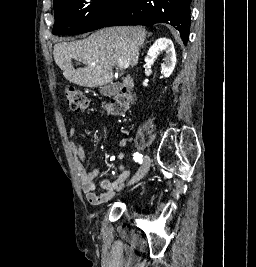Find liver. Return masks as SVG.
<instances>
[{
	"label": "liver",
	"mask_w": 256,
	"mask_h": 267,
	"mask_svg": "<svg viewBox=\"0 0 256 267\" xmlns=\"http://www.w3.org/2000/svg\"><path fill=\"white\" fill-rule=\"evenodd\" d=\"M146 32L141 26H116L104 28L80 42L55 44L53 58L63 70V76L72 84L95 88L105 86L114 78L113 66L128 62L136 66L139 50L144 44ZM71 60L86 64V68L74 70Z\"/></svg>",
	"instance_id": "1"
}]
</instances>
